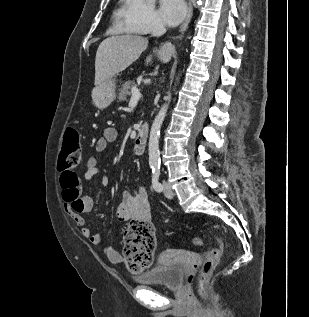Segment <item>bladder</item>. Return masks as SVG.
<instances>
[{
	"label": "bladder",
	"mask_w": 309,
	"mask_h": 317,
	"mask_svg": "<svg viewBox=\"0 0 309 317\" xmlns=\"http://www.w3.org/2000/svg\"><path fill=\"white\" fill-rule=\"evenodd\" d=\"M135 281L145 285H160L169 289H178L183 283V270L179 264H158L136 276Z\"/></svg>",
	"instance_id": "31cf9c89"
}]
</instances>
